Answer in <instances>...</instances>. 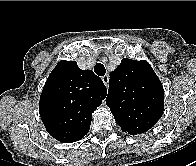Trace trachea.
I'll use <instances>...</instances> for the list:
<instances>
[{"instance_id":"3493384b","label":"trachea","mask_w":196,"mask_h":166,"mask_svg":"<svg viewBox=\"0 0 196 166\" xmlns=\"http://www.w3.org/2000/svg\"><path fill=\"white\" fill-rule=\"evenodd\" d=\"M94 71L98 76H104L106 73L105 66L101 63H97L94 67Z\"/></svg>"}]
</instances>
